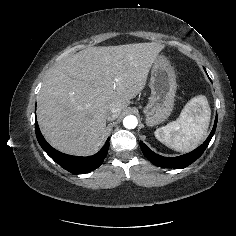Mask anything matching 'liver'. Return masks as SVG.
Listing matches in <instances>:
<instances>
[{"mask_svg": "<svg viewBox=\"0 0 236 236\" xmlns=\"http://www.w3.org/2000/svg\"><path fill=\"white\" fill-rule=\"evenodd\" d=\"M161 43L88 47L61 61L47 75L37 101L45 139L72 155L94 153L103 141L107 113L117 117L145 87Z\"/></svg>", "mask_w": 236, "mask_h": 236, "instance_id": "obj_1", "label": "liver"}]
</instances>
